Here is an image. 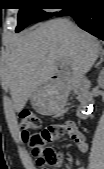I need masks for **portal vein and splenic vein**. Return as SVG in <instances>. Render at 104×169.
<instances>
[{
	"label": "portal vein and splenic vein",
	"instance_id": "1",
	"mask_svg": "<svg viewBox=\"0 0 104 169\" xmlns=\"http://www.w3.org/2000/svg\"><path fill=\"white\" fill-rule=\"evenodd\" d=\"M60 62H61V64H62L63 66H66V65L69 64V62H68L67 60H65V59H60Z\"/></svg>",
	"mask_w": 104,
	"mask_h": 169
}]
</instances>
